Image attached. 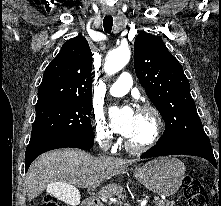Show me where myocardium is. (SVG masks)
<instances>
[{"instance_id": "myocardium-1", "label": "myocardium", "mask_w": 221, "mask_h": 206, "mask_svg": "<svg viewBox=\"0 0 221 206\" xmlns=\"http://www.w3.org/2000/svg\"><path fill=\"white\" fill-rule=\"evenodd\" d=\"M138 112L150 116L153 128L151 136L141 144H133L129 140L125 141L126 149L133 153H143L153 147L159 140L163 129L161 114L155 106L145 103L139 106Z\"/></svg>"}]
</instances>
